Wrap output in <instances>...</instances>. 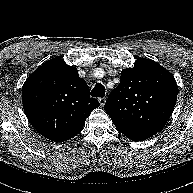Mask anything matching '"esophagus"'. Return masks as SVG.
<instances>
[{
    "instance_id": "esophagus-1",
    "label": "esophagus",
    "mask_w": 193,
    "mask_h": 193,
    "mask_svg": "<svg viewBox=\"0 0 193 193\" xmlns=\"http://www.w3.org/2000/svg\"><path fill=\"white\" fill-rule=\"evenodd\" d=\"M98 101H99L101 106H104L106 103V98H99Z\"/></svg>"
}]
</instances>
